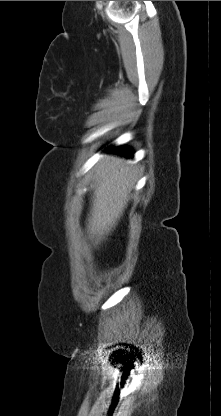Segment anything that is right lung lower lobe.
Segmentation results:
<instances>
[{"instance_id":"98d812e1","label":"right lung lower lobe","mask_w":221,"mask_h":416,"mask_svg":"<svg viewBox=\"0 0 221 416\" xmlns=\"http://www.w3.org/2000/svg\"><path fill=\"white\" fill-rule=\"evenodd\" d=\"M108 150H111L113 152H119L122 155H125L127 157H131L133 155L131 149L125 147V146H119L115 148H108Z\"/></svg>"}]
</instances>
